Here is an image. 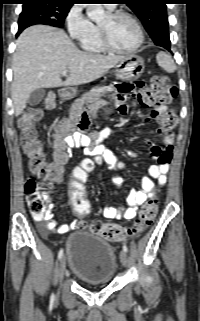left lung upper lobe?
<instances>
[{
    "instance_id": "5c2ea615",
    "label": "left lung upper lobe",
    "mask_w": 200,
    "mask_h": 321,
    "mask_svg": "<svg viewBox=\"0 0 200 321\" xmlns=\"http://www.w3.org/2000/svg\"><path fill=\"white\" fill-rule=\"evenodd\" d=\"M168 0H123L141 20L144 28L161 47L170 44L166 3Z\"/></svg>"
}]
</instances>
